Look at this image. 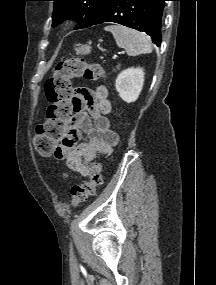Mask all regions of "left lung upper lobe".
<instances>
[{
	"label": "left lung upper lobe",
	"instance_id": "5c2ea615",
	"mask_svg": "<svg viewBox=\"0 0 216 285\" xmlns=\"http://www.w3.org/2000/svg\"><path fill=\"white\" fill-rule=\"evenodd\" d=\"M54 10L52 26L65 19L74 18L78 22L74 29L90 27L100 17L112 0H52Z\"/></svg>",
	"mask_w": 216,
	"mask_h": 285
}]
</instances>
